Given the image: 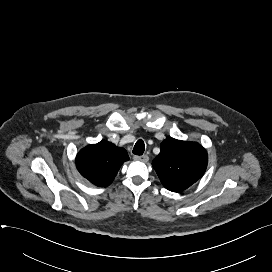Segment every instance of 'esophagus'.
I'll list each match as a JSON object with an SVG mask.
<instances>
[{"instance_id": "obj_1", "label": "esophagus", "mask_w": 272, "mask_h": 272, "mask_svg": "<svg viewBox=\"0 0 272 272\" xmlns=\"http://www.w3.org/2000/svg\"><path fill=\"white\" fill-rule=\"evenodd\" d=\"M134 159L141 162H148L149 157L148 155L134 156Z\"/></svg>"}]
</instances>
